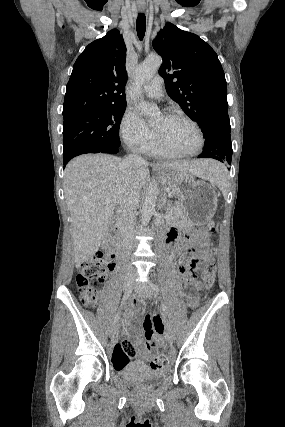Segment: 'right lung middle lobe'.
<instances>
[{
	"label": "right lung middle lobe",
	"instance_id": "right-lung-middle-lobe-1",
	"mask_svg": "<svg viewBox=\"0 0 285 427\" xmlns=\"http://www.w3.org/2000/svg\"><path fill=\"white\" fill-rule=\"evenodd\" d=\"M125 109L126 106H111L64 118V162L84 153H117Z\"/></svg>",
	"mask_w": 285,
	"mask_h": 427
}]
</instances>
